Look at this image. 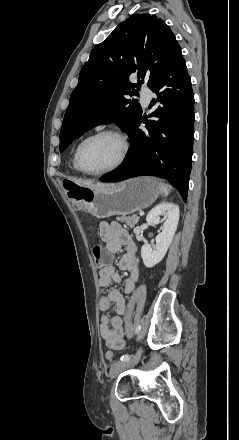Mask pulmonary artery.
<instances>
[{
  "mask_svg": "<svg viewBox=\"0 0 239 440\" xmlns=\"http://www.w3.org/2000/svg\"><path fill=\"white\" fill-rule=\"evenodd\" d=\"M151 98H152V93L150 91H147V92L142 94V99H143L145 104H148L149 101L151 100Z\"/></svg>",
  "mask_w": 239,
  "mask_h": 440,
  "instance_id": "1",
  "label": "pulmonary artery"
}]
</instances>
